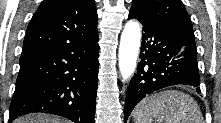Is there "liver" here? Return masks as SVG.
<instances>
[{"instance_id": "obj_1", "label": "liver", "mask_w": 221, "mask_h": 123, "mask_svg": "<svg viewBox=\"0 0 221 123\" xmlns=\"http://www.w3.org/2000/svg\"><path fill=\"white\" fill-rule=\"evenodd\" d=\"M14 123H68V121L47 114H31L16 119Z\"/></svg>"}]
</instances>
